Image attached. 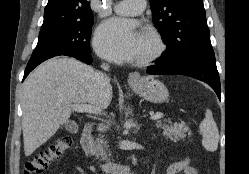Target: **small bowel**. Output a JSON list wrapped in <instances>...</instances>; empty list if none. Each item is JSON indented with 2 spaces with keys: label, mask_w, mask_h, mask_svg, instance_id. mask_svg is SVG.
Wrapping results in <instances>:
<instances>
[{
  "label": "small bowel",
  "mask_w": 249,
  "mask_h": 174,
  "mask_svg": "<svg viewBox=\"0 0 249 174\" xmlns=\"http://www.w3.org/2000/svg\"><path fill=\"white\" fill-rule=\"evenodd\" d=\"M76 170L82 173V170L79 166H76ZM198 174L197 170L190 165L189 157H185L184 159L174 163L167 170V174ZM63 174V173H60Z\"/></svg>",
  "instance_id": "small-bowel-1"
}]
</instances>
